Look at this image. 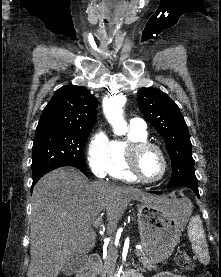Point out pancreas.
Wrapping results in <instances>:
<instances>
[{
  "label": "pancreas",
  "mask_w": 221,
  "mask_h": 277,
  "mask_svg": "<svg viewBox=\"0 0 221 277\" xmlns=\"http://www.w3.org/2000/svg\"><path fill=\"white\" fill-rule=\"evenodd\" d=\"M137 256H140L141 258L139 261L141 262L144 269H147L149 271L157 270L158 266L155 262L149 260L144 252L142 250H137L135 252ZM118 257V251L114 247L108 248V254L106 256L105 262L103 267L101 268V276L102 277H113L112 273L115 268L116 259Z\"/></svg>",
  "instance_id": "obj_1"
}]
</instances>
